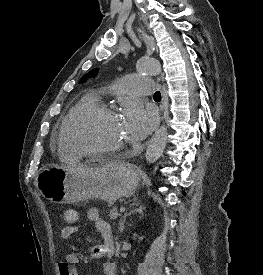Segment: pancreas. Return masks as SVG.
Returning <instances> with one entry per match:
<instances>
[{"instance_id":"cf45deb5","label":"pancreas","mask_w":263,"mask_h":275,"mask_svg":"<svg viewBox=\"0 0 263 275\" xmlns=\"http://www.w3.org/2000/svg\"><path fill=\"white\" fill-rule=\"evenodd\" d=\"M109 216H110V218L113 219V220H114V219H117V218L120 216V214L118 213L117 208L111 209L110 212H109Z\"/></svg>"}]
</instances>
